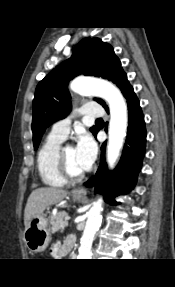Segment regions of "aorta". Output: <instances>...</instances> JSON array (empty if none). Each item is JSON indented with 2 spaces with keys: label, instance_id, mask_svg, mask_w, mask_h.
I'll return each instance as SVG.
<instances>
[{
  "label": "aorta",
  "instance_id": "762f6f07",
  "mask_svg": "<svg viewBox=\"0 0 175 287\" xmlns=\"http://www.w3.org/2000/svg\"><path fill=\"white\" fill-rule=\"evenodd\" d=\"M70 88L80 94H92L107 101L110 109L109 139L107 145V162L109 168H113L120 150L123 147L128 125V114L126 102L113 84L85 78L75 79ZM103 200L100 198L93 203L88 212L86 226L81 239L78 259H91V247L94 235L101 223V211Z\"/></svg>",
  "mask_w": 175,
  "mask_h": 287
}]
</instances>
